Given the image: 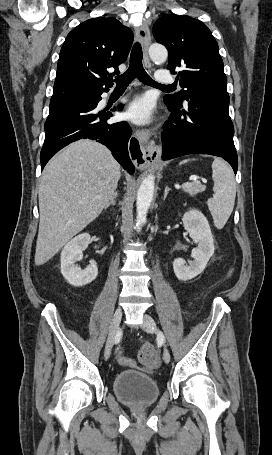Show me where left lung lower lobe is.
Listing matches in <instances>:
<instances>
[{
    "instance_id": "0a47b994",
    "label": "left lung lower lobe",
    "mask_w": 272,
    "mask_h": 455,
    "mask_svg": "<svg viewBox=\"0 0 272 455\" xmlns=\"http://www.w3.org/2000/svg\"><path fill=\"white\" fill-rule=\"evenodd\" d=\"M181 104L164 99L171 111L162 134V159L188 154H210L225 159L235 174L238 158L233 142L234 127L229 116V95L201 92Z\"/></svg>"
}]
</instances>
